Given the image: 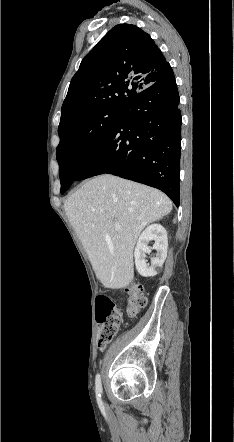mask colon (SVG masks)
<instances>
[{"instance_id": "obj_1", "label": "colon", "mask_w": 234, "mask_h": 442, "mask_svg": "<svg viewBox=\"0 0 234 442\" xmlns=\"http://www.w3.org/2000/svg\"><path fill=\"white\" fill-rule=\"evenodd\" d=\"M129 298L126 314L136 317L146 306L147 299L138 285L131 286L128 290ZM96 317L98 323L97 345L104 349L115 337L122 319V311L107 296H99L96 300Z\"/></svg>"}]
</instances>
